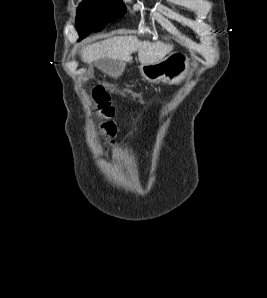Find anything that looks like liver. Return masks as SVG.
I'll list each match as a JSON object with an SVG mask.
<instances>
[{
  "label": "liver",
  "instance_id": "obj_1",
  "mask_svg": "<svg viewBox=\"0 0 267 298\" xmlns=\"http://www.w3.org/2000/svg\"><path fill=\"white\" fill-rule=\"evenodd\" d=\"M173 50V45L161 41H140L135 36H116L94 43L82 50V60L88 64L100 59L132 61L131 54L138 51L141 64H155Z\"/></svg>",
  "mask_w": 267,
  "mask_h": 298
}]
</instances>
